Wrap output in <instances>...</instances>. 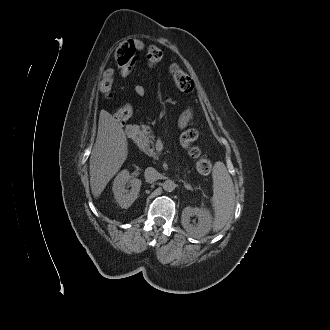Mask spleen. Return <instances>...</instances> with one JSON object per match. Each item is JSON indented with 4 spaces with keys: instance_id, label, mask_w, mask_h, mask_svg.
<instances>
[{
    "instance_id": "obj_1",
    "label": "spleen",
    "mask_w": 330,
    "mask_h": 330,
    "mask_svg": "<svg viewBox=\"0 0 330 330\" xmlns=\"http://www.w3.org/2000/svg\"><path fill=\"white\" fill-rule=\"evenodd\" d=\"M213 197L211 199L214 209L213 231H219L229 221L235 206V191L233 181L223 162H216L213 171Z\"/></svg>"
}]
</instances>
